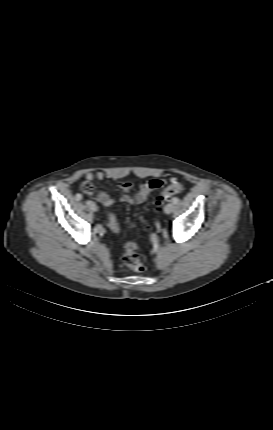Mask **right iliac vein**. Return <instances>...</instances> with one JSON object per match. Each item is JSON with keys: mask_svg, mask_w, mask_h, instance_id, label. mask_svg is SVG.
Here are the masks:
<instances>
[{"mask_svg": "<svg viewBox=\"0 0 273 430\" xmlns=\"http://www.w3.org/2000/svg\"><path fill=\"white\" fill-rule=\"evenodd\" d=\"M86 203L92 211L96 212L98 210L97 205L93 201H87Z\"/></svg>", "mask_w": 273, "mask_h": 430, "instance_id": "right-iliac-vein-1", "label": "right iliac vein"}]
</instances>
